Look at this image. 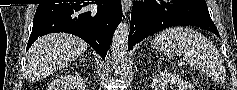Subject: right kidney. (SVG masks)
<instances>
[{
	"label": "right kidney",
	"instance_id": "1",
	"mask_svg": "<svg viewBox=\"0 0 237 90\" xmlns=\"http://www.w3.org/2000/svg\"><path fill=\"white\" fill-rule=\"evenodd\" d=\"M56 86H57V84H56ZM59 88H60V86H57V88H53V86H51V84H50V86H48V90H59Z\"/></svg>",
	"mask_w": 237,
	"mask_h": 90
}]
</instances>
